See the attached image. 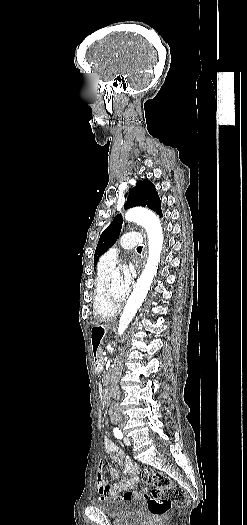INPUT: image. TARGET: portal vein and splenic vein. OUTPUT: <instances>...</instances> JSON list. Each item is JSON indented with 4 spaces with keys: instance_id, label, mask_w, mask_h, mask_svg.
I'll return each instance as SVG.
<instances>
[{
    "instance_id": "obj_1",
    "label": "portal vein and splenic vein",
    "mask_w": 247,
    "mask_h": 525,
    "mask_svg": "<svg viewBox=\"0 0 247 525\" xmlns=\"http://www.w3.org/2000/svg\"><path fill=\"white\" fill-rule=\"evenodd\" d=\"M103 356H105L104 361H108V355H106V353H103Z\"/></svg>"
}]
</instances>
